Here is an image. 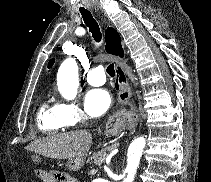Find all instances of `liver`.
Instances as JSON below:
<instances>
[{
	"label": "liver",
	"instance_id": "1",
	"mask_svg": "<svg viewBox=\"0 0 211 182\" xmlns=\"http://www.w3.org/2000/svg\"><path fill=\"white\" fill-rule=\"evenodd\" d=\"M91 145L92 135L86 130H80L37 139L26 149L49 158L72 159L84 158Z\"/></svg>",
	"mask_w": 211,
	"mask_h": 182
}]
</instances>
